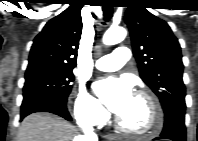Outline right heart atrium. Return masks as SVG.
Listing matches in <instances>:
<instances>
[{
  "label": "right heart atrium",
  "instance_id": "right-heart-atrium-1",
  "mask_svg": "<svg viewBox=\"0 0 198 141\" xmlns=\"http://www.w3.org/2000/svg\"><path fill=\"white\" fill-rule=\"evenodd\" d=\"M72 110L76 121L80 124L102 126L108 120L106 110L84 86H80L73 95Z\"/></svg>",
  "mask_w": 198,
  "mask_h": 141
}]
</instances>
